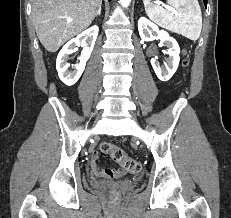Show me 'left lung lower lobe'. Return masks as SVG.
Wrapping results in <instances>:
<instances>
[{
  "instance_id": "0a47b994",
  "label": "left lung lower lobe",
  "mask_w": 231,
  "mask_h": 218,
  "mask_svg": "<svg viewBox=\"0 0 231 218\" xmlns=\"http://www.w3.org/2000/svg\"><path fill=\"white\" fill-rule=\"evenodd\" d=\"M203 1H204L205 6H207V0H203Z\"/></svg>"
}]
</instances>
